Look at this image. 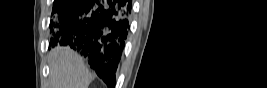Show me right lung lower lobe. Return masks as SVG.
Returning <instances> with one entry per match:
<instances>
[{
    "instance_id": "1",
    "label": "right lung lower lobe",
    "mask_w": 267,
    "mask_h": 88,
    "mask_svg": "<svg viewBox=\"0 0 267 88\" xmlns=\"http://www.w3.org/2000/svg\"><path fill=\"white\" fill-rule=\"evenodd\" d=\"M131 10V0H70L59 12L51 43L78 50L107 86L114 88Z\"/></svg>"
}]
</instances>
